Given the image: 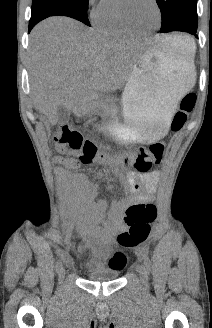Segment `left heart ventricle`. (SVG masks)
<instances>
[{
    "label": "left heart ventricle",
    "instance_id": "b2bd125f",
    "mask_svg": "<svg viewBox=\"0 0 212 328\" xmlns=\"http://www.w3.org/2000/svg\"><path fill=\"white\" fill-rule=\"evenodd\" d=\"M125 7L135 27L147 30L157 25L158 14L151 0H127Z\"/></svg>",
    "mask_w": 212,
    "mask_h": 328
}]
</instances>
